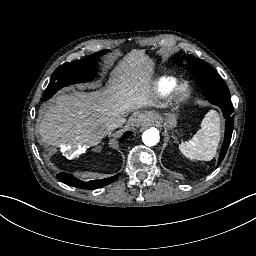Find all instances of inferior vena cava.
Listing matches in <instances>:
<instances>
[{
  "label": "inferior vena cava",
  "mask_w": 256,
  "mask_h": 256,
  "mask_svg": "<svg viewBox=\"0 0 256 256\" xmlns=\"http://www.w3.org/2000/svg\"><path fill=\"white\" fill-rule=\"evenodd\" d=\"M125 121V118L118 117L114 121L108 123L107 127L109 130H114L115 128L121 127Z\"/></svg>",
  "instance_id": "inferior-vena-cava-1"
}]
</instances>
